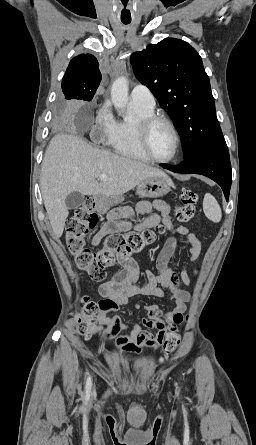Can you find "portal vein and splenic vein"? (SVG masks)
<instances>
[{
	"label": "portal vein and splenic vein",
	"mask_w": 256,
	"mask_h": 445,
	"mask_svg": "<svg viewBox=\"0 0 256 445\" xmlns=\"http://www.w3.org/2000/svg\"><path fill=\"white\" fill-rule=\"evenodd\" d=\"M108 177H107V175H105V174H101L100 176H99V179L100 180H105V179H107Z\"/></svg>",
	"instance_id": "1"
}]
</instances>
